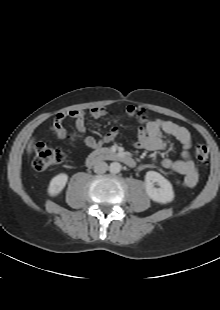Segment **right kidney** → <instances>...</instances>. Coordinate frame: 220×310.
<instances>
[{
    "label": "right kidney",
    "mask_w": 220,
    "mask_h": 310,
    "mask_svg": "<svg viewBox=\"0 0 220 310\" xmlns=\"http://www.w3.org/2000/svg\"><path fill=\"white\" fill-rule=\"evenodd\" d=\"M68 181V175L65 173H60L53 177L49 183L48 194L50 196L58 195L65 187Z\"/></svg>",
    "instance_id": "right-kidney-1"
}]
</instances>
